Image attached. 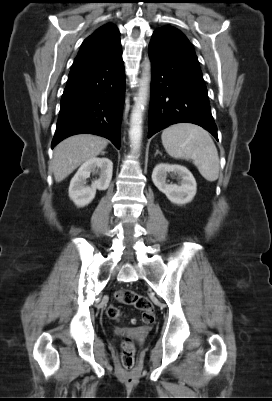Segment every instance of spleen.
I'll return each instance as SVG.
<instances>
[{
	"mask_svg": "<svg viewBox=\"0 0 272 401\" xmlns=\"http://www.w3.org/2000/svg\"><path fill=\"white\" fill-rule=\"evenodd\" d=\"M161 139L171 157L191 159L207 181L213 182L218 179V151L207 131L197 125L180 123L166 128Z\"/></svg>",
	"mask_w": 272,
	"mask_h": 401,
	"instance_id": "1",
	"label": "spleen"
}]
</instances>
